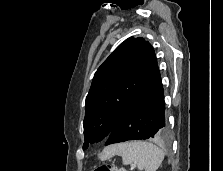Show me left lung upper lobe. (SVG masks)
<instances>
[{
  "mask_svg": "<svg viewBox=\"0 0 223 171\" xmlns=\"http://www.w3.org/2000/svg\"><path fill=\"white\" fill-rule=\"evenodd\" d=\"M156 63L151 44L130 37L98 68L86 97L83 149L110 135Z\"/></svg>",
  "mask_w": 223,
  "mask_h": 171,
  "instance_id": "obj_1",
  "label": "left lung upper lobe"
}]
</instances>
